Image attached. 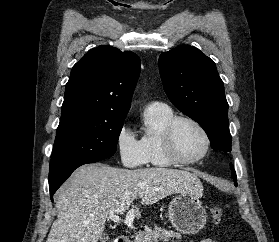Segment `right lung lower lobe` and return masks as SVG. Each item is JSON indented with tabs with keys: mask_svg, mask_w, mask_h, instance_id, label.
Returning <instances> with one entry per match:
<instances>
[{
	"mask_svg": "<svg viewBox=\"0 0 279 242\" xmlns=\"http://www.w3.org/2000/svg\"><path fill=\"white\" fill-rule=\"evenodd\" d=\"M102 159L103 158H92V159L83 160V161L73 165L72 167H70L67 171L61 173L58 177H56L52 180H49V189H50L51 200L53 201V195L56 192V190L62 185V183L71 175V173L76 168H78L79 166L84 165V164L98 162Z\"/></svg>",
	"mask_w": 279,
	"mask_h": 242,
	"instance_id": "obj_1",
	"label": "right lung lower lobe"
}]
</instances>
